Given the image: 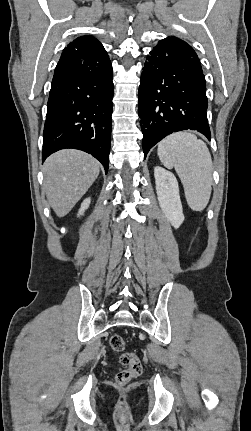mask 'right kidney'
<instances>
[{
	"label": "right kidney",
	"instance_id": "right-kidney-1",
	"mask_svg": "<svg viewBox=\"0 0 251 431\" xmlns=\"http://www.w3.org/2000/svg\"><path fill=\"white\" fill-rule=\"evenodd\" d=\"M90 201H91V199L87 198L82 202L81 207H80L79 212H78V216L83 215L84 211L89 207Z\"/></svg>",
	"mask_w": 251,
	"mask_h": 431
}]
</instances>
